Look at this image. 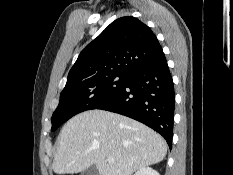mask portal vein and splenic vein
Returning a JSON list of instances; mask_svg holds the SVG:
<instances>
[{
	"label": "portal vein and splenic vein",
	"instance_id": "1",
	"mask_svg": "<svg viewBox=\"0 0 233 175\" xmlns=\"http://www.w3.org/2000/svg\"><path fill=\"white\" fill-rule=\"evenodd\" d=\"M107 161H108L109 164H111V163L114 162V159L113 158H108Z\"/></svg>",
	"mask_w": 233,
	"mask_h": 175
}]
</instances>
